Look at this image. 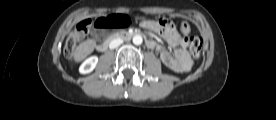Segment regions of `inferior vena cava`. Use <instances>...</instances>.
Here are the masks:
<instances>
[{"label":"inferior vena cava","instance_id":"inferior-vena-cava-1","mask_svg":"<svg viewBox=\"0 0 276 120\" xmlns=\"http://www.w3.org/2000/svg\"><path fill=\"white\" fill-rule=\"evenodd\" d=\"M123 43V40L118 38V39H114L110 42L109 44V48L110 49H115L117 48L118 46H120L121 44Z\"/></svg>","mask_w":276,"mask_h":120}]
</instances>
